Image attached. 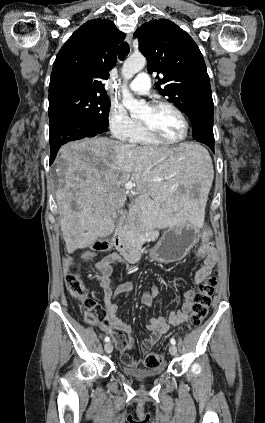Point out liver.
<instances>
[{"instance_id": "6515ba94", "label": "liver", "mask_w": 265, "mask_h": 423, "mask_svg": "<svg viewBox=\"0 0 265 423\" xmlns=\"http://www.w3.org/2000/svg\"><path fill=\"white\" fill-rule=\"evenodd\" d=\"M201 151L192 143L175 149L134 147L106 137L61 147L56 168L62 184L56 201L68 252L113 233V218L127 199V182L135 183L138 211L149 224L172 228L189 220L201 227L203 215L189 192L208 177L210 162ZM181 188L186 191L181 193Z\"/></svg>"}]
</instances>
